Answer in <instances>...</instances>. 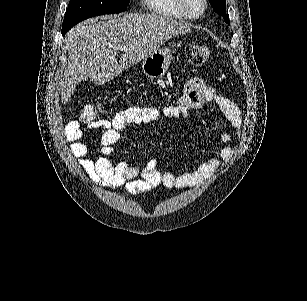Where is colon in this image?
Returning <instances> with one entry per match:
<instances>
[{
  "instance_id": "1",
  "label": "colon",
  "mask_w": 307,
  "mask_h": 301,
  "mask_svg": "<svg viewBox=\"0 0 307 301\" xmlns=\"http://www.w3.org/2000/svg\"><path fill=\"white\" fill-rule=\"evenodd\" d=\"M210 54V48L202 43H190L186 47V57L194 66L203 65L209 59ZM100 109V106H86L80 115V122L87 125L97 122Z\"/></svg>"
}]
</instances>
